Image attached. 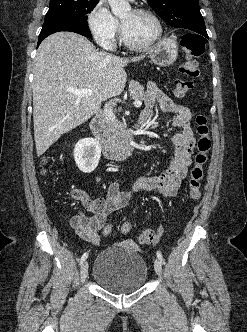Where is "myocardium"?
Listing matches in <instances>:
<instances>
[{"mask_svg":"<svg viewBox=\"0 0 247 332\" xmlns=\"http://www.w3.org/2000/svg\"><path fill=\"white\" fill-rule=\"evenodd\" d=\"M132 11L136 14H144V15H148L151 18H153V20L155 21V23L157 25V32H156L155 36L148 42L142 43V44H137V43L132 42L129 39V37L126 34L124 24L121 23V40L128 48H130L132 50H146V49L150 48L151 46H153L156 42H158L162 38V36H163L162 21L155 12H153L149 9L135 8Z\"/></svg>","mask_w":247,"mask_h":332,"instance_id":"1","label":"myocardium"}]
</instances>
